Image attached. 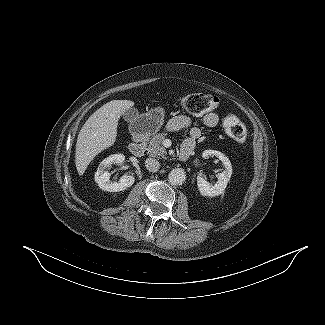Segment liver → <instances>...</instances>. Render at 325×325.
Here are the masks:
<instances>
[{
    "mask_svg": "<svg viewBox=\"0 0 325 325\" xmlns=\"http://www.w3.org/2000/svg\"><path fill=\"white\" fill-rule=\"evenodd\" d=\"M133 106L134 102L130 100H112L88 118L76 143L75 164L79 175L84 174L96 155L115 143L118 121Z\"/></svg>",
    "mask_w": 325,
    "mask_h": 325,
    "instance_id": "obj_1",
    "label": "liver"
}]
</instances>
